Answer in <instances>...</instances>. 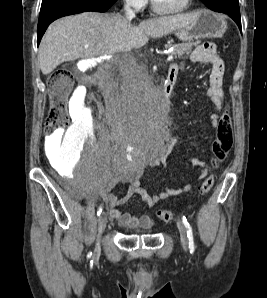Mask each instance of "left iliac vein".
I'll list each match as a JSON object with an SVG mask.
<instances>
[{
	"mask_svg": "<svg viewBox=\"0 0 267 298\" xmlns=\"http://www.w3.org/2000/svg\"><path fill=\"white\" fill-rule=\"evenodd\" d=\"M177 227L180 233V241H181V245L183 247L184 250H187L188 248V237H187V233H186V228L183 224L182 221L178 220L177 221Z\"/></svg>",
	"mask_w": 267,
	"mask_h": 298,
	"instance_id": "1",
	"label": "left iliac vein"
}]
</instances>
